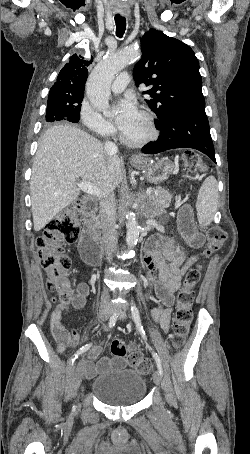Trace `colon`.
Instances as JSON below:
<instances>
[{"mask_svg":"<svg viewBox=\"0 0 250 454\" xmlns=\"http://www.w3.org/2000/svg\"><path fill=\"white\" fill-rule=\"evenodd\" d=\"M183 160L191 171H204L205 165L200 156L193 151H186ZM80 204H77L79 207ZM79 236L78 215L75 208L64 210L52 219L42 236L36 241L38 255L42 267L47 275V288L57 293L61 303L71 300V285L69 282L70 259L65 255L63 244L72 243ZM226 239V232L219 226L207 230V245L204 251L206 257L220 249ZM200 273L196 269L190 270L184 280L183 286L177 291L175 297V313L172 344L181 347L185 342L193 319L192 304L194 300L193 287L198 282ZM111 352L117 357H127L128 363L139 373L147 374L152 370V362L140 353L132 351L122 340L111 343Z\"/></svg>","mask_w":250,"mask_h":454,"instance_id":"5ec220e1","label":"colon"}]
</instances>
